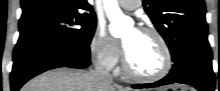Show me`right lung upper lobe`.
I'll list each match as a JSON object with an SVG mask.
<instances>
[{
	"instance_id": "cb5924a9",
	"label": "right lung upper lobe",
	"mask_w": 220,
	"mask_h": 91,
	"mask_svg": "<svg viewBox=\"0 0 220 91\" xmlns=\"http://www.w3.org/2000/svg\"><path fill=\"white\" fill-rule=\"evenodd\" d=\"M21 7L23 13L19 24L49 15L80 12V10L95 14L87 0H22Z\"/></svg>"
}]
</instances>
